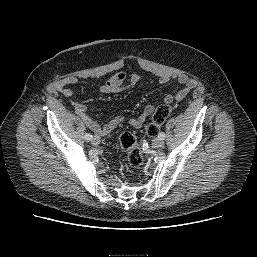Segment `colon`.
<instances>
[{
	"instance_id": "1",
	"label": "colon",
	"mask_w": 257,
	"mask_h": 257,
	"mask_svg": "<svg viewBox=\"0 0 257 257\" xmlns=\"http://www.w3.org/2000/svg\"><path fill=\"white\" fill-rule=\"evenodd\" d=\"M171 112V106L169 104H162L158 106L151 118V122L147 127V134L154 136L159 127L165 122ZM119 145L126 153L127 163L131 168H139L143 164V154L138 145L135 135L126 131L121 134L119 138Z\"/></svg>"
}]
</instances>
